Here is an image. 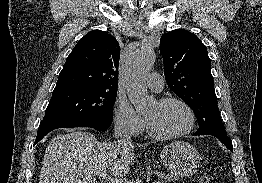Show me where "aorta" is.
I'll return each instance as SVG.
<instances>
[{
	"mask_svg": "<svg viewBox=\"0 0 262 183\" xmlns=\"http://www.w3.org/2000/svg\"><path fill=\"white\" fill-rule=\"evenodd\" d=\"M154 62L155 53L150 47L137 49L128 62L127 94L137 112L148 109L154 103L144 82V77L150 72Z\"/></svg>",
	"mask_w": 262,
	"mask_h": 183,
	"instance_id": "aorta-1",
	"label": "aorta"
}]
</instances>
